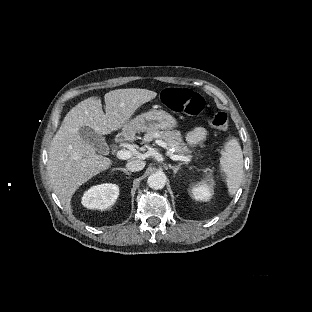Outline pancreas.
Returning a JSON list of instances; mask_svg holds the SVG:
<instances>
[{"label": "pancreas", "mask_w": 312, "mask_h": 312, "mask_svg": "<svg viewBox=\"0 0 312 312\" xmlns=\"http://www.w3.org/2000/svg\"><path fill=\"white\" fill-rule=\"evenodd\" d=\"M154 138L163 139L169 149H174L178 155L190 154L191 150L183 142L181 133L177 130L159 131L156 129L147 131L144 135L142 144L152 141Z\"/></svg>", "instance_id": "obj_1"}]
</instances>
